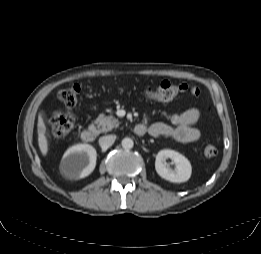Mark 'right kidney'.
<instances>
[{
  "label": "right kidney",
  "instance_id": "obj_1",
  "mask_svg": "<svg viewBox=\"0 0 261 254\" xmlns=\"http://www.w3.org/2000/svg\"><path fill=\"white\" fill-rule=\"evenodd\" d=\"M97 153L89 144H76L64 154L60 169L68 179H80L90 175L96 166Z\"/></svg>",
  "mask_w": 261,
  "mask_h": 254
}]
</instances>
